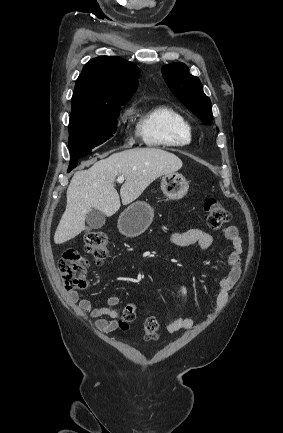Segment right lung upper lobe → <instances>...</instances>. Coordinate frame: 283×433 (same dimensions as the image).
I'll return each instance as SVG.
<instances>
[{
    "instance_id": "cb5924a9",
    "label": "right lung upper lobe",
    "mask_w": 283,
    "mask_h": 433,
    "mask_svg": "<svg viewBox=\"0 0 283 433\" xmlns=\"http://www.w3.org/2000/svg\"><path fill=\"white\" fill-rule=\"evenodd\" d=\"M138 67L116 56L90 60L78 77L72 110L124 105L138 86Z\"/></svg>"
}]
</instances>
